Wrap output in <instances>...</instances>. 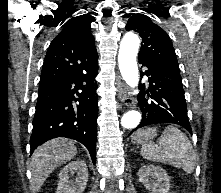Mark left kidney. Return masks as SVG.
Instances as JSON below:
<instances>
[{"instance_id": "obj_1", "label": "left kidney", "mask_w": 221, "mask_h": 193, "mask_svg": "<svg viewBox=\"0 0 221 193\" xmlns=\"http://www.w3.org/2000/svg\"><path fill=\"white\" fill-rule=\"evenodd\" d=\"M139 181L151 193H168L170 189V177L167 172L153 165H144L138 171Z\"/></svg>"}]
</instances>
